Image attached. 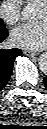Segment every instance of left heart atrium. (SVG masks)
Segmentation results:
<instances>
[{
  "label": "left heart atrium",
  "mask_w": 47,
  "mask_h": 129,
  "mask_svg": "<svg viewBox=\"0 0 47 129\" xmlns=\"http://www.w3.org/2000/svg\"><path fill=\"white\" fill-rule=\"evenodd\" d=\"M11 39L16 46L22 48L32 50L42 49L47 41L46 22L22 24L12 31Z\"/></svg>",
  "instance_id": "1"
}]
</instances>
